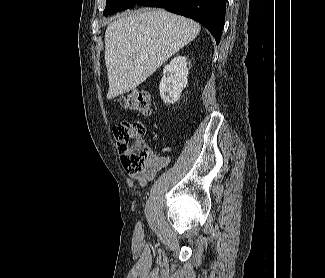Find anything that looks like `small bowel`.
I'll return each instance as SVG.
<instances>
[{
    "instance_id": "obj_1",
    "label": "small bowel",
    "mask_w": 325,
    "mask_h": 278,
    "mask_svg": "<svg viewBox=\"0 0 325 278\" xmlns=\"http://www.w3.org/2000/svg\"><path fill=\"white\" fill-rule=\"evenodd\" d=\"M170 162V157L168 155H157L153 154L148 160L145 167L134 174L131 177L137 180L141 186H146V184L154 179L156 173L166 167Z\"/></svg>"
}]
</instances>
